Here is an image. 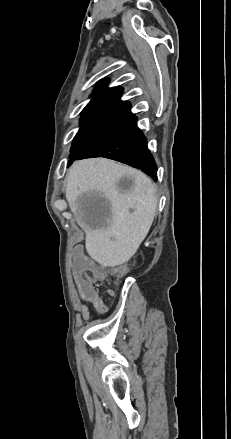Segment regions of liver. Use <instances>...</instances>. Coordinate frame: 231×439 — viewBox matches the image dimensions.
Segmentation results:
<instances>
[{
  "instance_id": "obj_1",
  "label": "liver",
  "mask_w": 231,
  "mask_h": 439,
  "mask_svg": "<svg viewBox=\"0 0 231 439\" xmlns=\"http://www.w3.org/2000/svg\"><path fill=\"white\" fill-rule=\"evenodd\" d=\"M128 176L133 187L121 192L118 181ZM66 199L86 234L89 256L103 267L122 265L147 236L157 209L156 187L143 172L105 158L75 162L66 177ZM99 193L109 203L100 216L85 217L81 197Z\"/></svg>"
}]
</instances>
